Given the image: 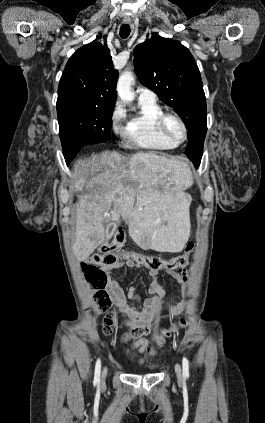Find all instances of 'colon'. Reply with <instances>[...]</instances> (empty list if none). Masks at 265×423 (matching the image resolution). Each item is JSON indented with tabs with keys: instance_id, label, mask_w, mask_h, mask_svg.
Listing matches in <instances>:
<instances>
[{
	"instance_id": "1",
	"label": "colon",
	"mask_w": 265,
	"mask_h": 423,
	"mask_svg": "<svg viewBox=\"0 0 265 423\" xmlns=\"http://www.w3.org/2000/svg\"><path fill=\"white\" fill-rule=\"evenodd\" d=\"M125 241L126 233L124 229L120 228L113 234L112 238L108 242L103 244L87 260L81 263L83 275L94 290L93 300L98 311H105L110 306L109 294L104 289L107 280L105 273L99 268L100 265L114 264L120 257H123L141 264L153 273H159L161 271H177L187 264L188 253L192 250V246H189L187 254L166 260L129 250L121 251ZM111 324L112 320L110 318H106L103 327L105 333L109 334L111 332ZM184 325H186V320L181 319L177 325H173L165 330L163 335L158 339V345L163 346L165 338L174 335L178 331L179 327ZM148 350L150 354L154 353L151 348Z\"/></svg>"
}]
</instances>
